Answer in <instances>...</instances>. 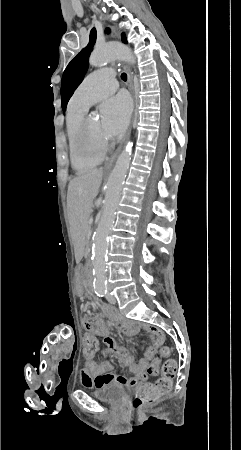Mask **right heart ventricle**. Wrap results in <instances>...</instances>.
Returning <instances> with one entry per match:
<instances>
[{
	"instance_id": "right-heart-ventricle-1",
	"label": "right heart ventricle",
	"mask_w": 241,
	"mask_h": 450,
	"mask_svg": "<svg viewBox=\"0 0 241 450\" xmlns=\"http://www.w3.org/2000/svg\"><path fill=\"white\" fill-rule=\"evenodd\" d=\"M87 108H88V106H86L83 103L72 101L69 105L68 113H67V135H68V139H69L71 161H72L73 166L79 170L97 165L102 158L101 152H100V154H101L100 158L81 157L80 153L79 154L75 153L76 143H74L73 138L76 135L74 133V128H75L76 124L85 117ZM86 124H88V122H86ZM107 126H108V124H107ZM80 159H83V160H80ZM90 159H92V160H90Z\"/></svg>"
}]
</instances>
